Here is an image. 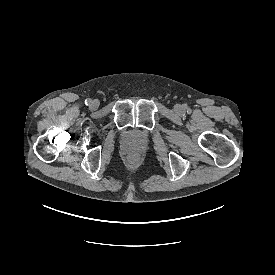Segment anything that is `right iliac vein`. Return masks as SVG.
Wrapping results in <instances>:
<instances>
[{
  "label": "right iliac vein",
  "mask_w": 275,
  "mask_h": 275,
  "mask_svg": "<svg viewBox=\"0 0 275 275\" xmlns=\"http://www.w3.org/2000/svg\"><path fill=\"white\" fill-rule=\"evenodd\" d=\"M90 106H91L92 108H97V106H98L97 101H92L91 104H90Z\"/></svg>",
  "instance_id": "63e3f726"
}]
</instances>
